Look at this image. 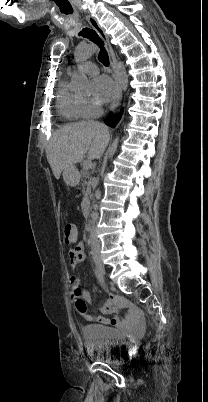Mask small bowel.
<instances>
[{
    "mask_svg": "<svg viewBox=\"0 0 208 402\" xmlns=\"http://www.w3.org/2000/svg\"><path fill=\"white\" fill-rule=\"evenodd\" d=\"M77 237L81 236L80 232L76 233ZM68 252L70 253V264L71 266L77 265L83 258H84V253H83V246L81 243H78V245L74 248L68 249ZM69 286H70V295L74 298L75 296H79L81 298H84L87 302L91 301V296L87 293H84L81 291L79 287V279L75 276L71 277L69 280ZM109 298L112 301H115V304L118 307H122L124 305H127V303L121 299V295H117L113 290H110L108 292ZM86 318V321L88 323H91L94 319L93 316H91L88 312L82 316ZM146 318L143 316V312L141 309H134L130 312V315H124L122 317V322L123 327L128 330H138L140 327V324L145 323ZM95 322L97 324H102V323H110V324H120L121 320L119 318H112V319H107L106 317H103L102 315H97L95 317Z\"/></svg>",
    "mask_w": 208,
    "mask_h": 402,
    "instance_id": "obj_1",
    "label": "small bowel"
}]
</instances>
